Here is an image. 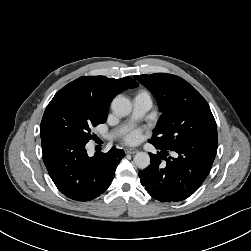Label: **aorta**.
Returning a JSON list of instances; mask_svg holds the SVG:
<instances>
[{
    "mask_svg": "<svg viewBox=\"0 0 251 251\" xmlns=\"http://www.w3.org/2000/svg\"><path fill=\"white\" fill-rule=\"evenodd\" d=\"M111 108L115 115L125 117L131 113L132 105L129 99L119 96L112 101ZM133 161L138 168L145 169L150 165V156L146 152H138Z\"/></svg>",
    "mask_w": 251,
    "mask_h": 251,
    "instance_id": "obj_1",
    "label": "aorta"
}]
</instances>
